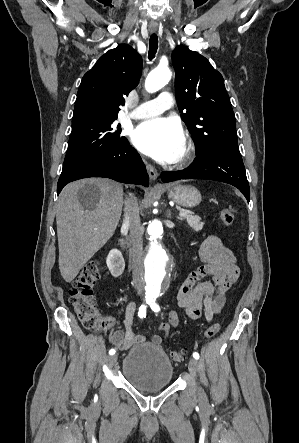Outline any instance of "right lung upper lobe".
I'll return each instance as SVG.
<instances>
[{
  "mask_svg": "<svg viewBox=\"0 0 299 443\" xmlns=\"http://www.w3.org/2000/svg\"><path fill=\"white\" fill-rule=\"evenodd\" d=\"M142 71L141 56L122 44L101 56L80 84L72 123L87 118L117 117L123 95L134 89Z\"/></svg>",
  "mask_w": 299,
  "mask_h": 443,
  "instance_id": "obj_1",
  "label": "right lung upper lobe"
}]
</instances>
